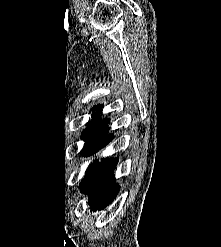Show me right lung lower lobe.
Wrapping results in <instances>:
<instances>
[{
  "mask_svg": "<svg viewBox=\"0 0 221 247\" xmlns=\"http://www.w3.org/2000/svg\"><path fill=\"white\" fill-rule=\"evenodd\" d=\"M108 124L94 127L83 131L82 138L85 140L84 156H91L101 148L105 147L113 135L107 134ZM116 158L94 161L87 169L85 178L81 182L80 189L89 195V204L92 210H101L109 205L119 191L115 183L113 171L117 165Z\"/></svg>",
  "mask_w": 221,
  "mask_h": 247,
  "instance_id": "98d812e1",
  "label": "right lung lower lobe"
}]
</instances>
